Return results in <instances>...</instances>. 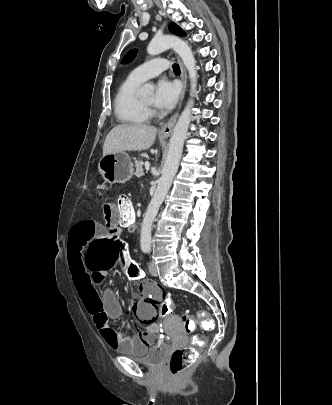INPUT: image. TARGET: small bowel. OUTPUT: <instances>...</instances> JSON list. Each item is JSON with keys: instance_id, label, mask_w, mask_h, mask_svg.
<instances>
[{"instance_id": "obj_1", "label": "small bowel", "mask_w": 332, "mask_h": 405, "mask_svg": "<svg viewBox=\"0 0 332 405\" xmlns=\"http://www.w3.org/2000/svg\"><path fill=\"white\" fill-rule=\"evenodd\" d=\"M103 217L107 226L89 221H79L72 226L67 247L69 272L84 307L92 316L102 339L110 347L121 349L122 353H151L152 349H158V322H155L154 315L159 313L156 312L160 310L157 303L166 296V289L152 288L153 283L144 280L140 289L133 290L136 301L132 303V310L140 319L141 328H137L136 335L133 336H126L112 328L110 320L118 317L121 312L119 298L109 289L104 291L102 297L98 294L103 285V277L88 270L87 248H90L93 240H108L109 234H116L118 237L126 223H120V210L111 203L103 205ZM128 252L125 248L124 254L129 256Z\"/></svg>"}]
</instances>
